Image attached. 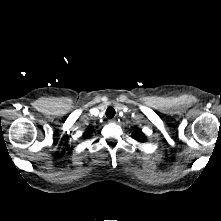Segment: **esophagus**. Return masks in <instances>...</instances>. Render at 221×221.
Segmentation results:
<instances>
[{"instance_id":"obj_1","label":"esophagus","mask_w":221,"mask_h":221,"mask_svg":"<svg viewBox=\"0 0 221 221\" xmlns=\"http://www.w3.org/2000/svg\"><path fill=\"white\" fill-rule=\"evenodd\" d=\"M109 122L114 123V122H116V120L115 119H110Z\"/></svg>"}]
</instances>
